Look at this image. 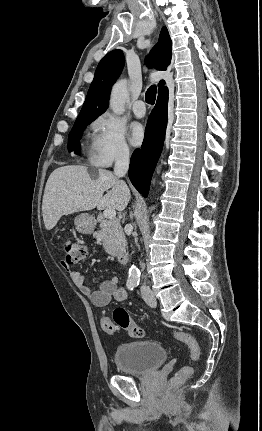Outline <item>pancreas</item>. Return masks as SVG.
<instances>
[{
  "mask_svg": "<svg viewBox=\"0 0 262 431\" xmlns=\"http://www.w3.org/2000/svg\"><path fill=\"white\" fill-rule=\"evenodd\" d=\"M99 221L101 229L94 233V237L103 241L105 251L113 256L125 251L127 243L120 221L116 218L112 220L101 218Z\"/></svg>",
  "mask_w": 262,
  "mask_h": 431,
  "instance_id": "obj_1",
  "label": "pancreas"
}]
</instances>
